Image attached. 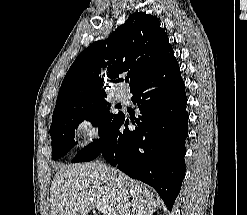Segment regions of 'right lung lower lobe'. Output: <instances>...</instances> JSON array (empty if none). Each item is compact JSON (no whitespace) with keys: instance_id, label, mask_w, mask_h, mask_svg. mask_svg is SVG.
Instances as JSON below:
<instances>
[{"instance_id":"1","label":"right lung lower lobe","mask_w":247,"mask_h":215,"mask_svg":"<svg viewBox=\"0 0 247 215\" xmlns=\"http://www.w3.org/2000/svg\"><path fill=\"white\" fill-rule=\"evenodd\" d=\"M130 92L141 111L132 119L135 130H129L121 113L72 162L102 155L128 176L152 186L171 211L185 174L188 136L187 98L173 49Z\"/></svg>"}]
</instances>
